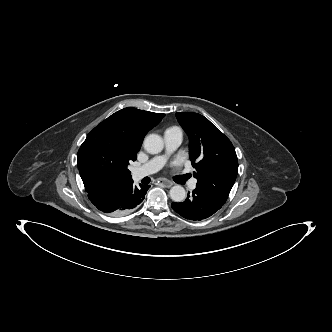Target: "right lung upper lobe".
<instances>
[{
  "label": "right lung upper lobe",
  "instance_id": "cb5924a9",
  "mask_svg": "<svg viewBox=\"0 0 332 332\" xmlns=\"http://www.w3.org/2000/svg\"><path fill=\"white\" fill-rule=\"evenodd\" d=\"M113 117H121L125 120L126 124L131 128L133 137L139 147H141L142 141L146 133L156 126L165 114L152 113L144 110H138L136 108H124L117 111ZM103 183L97 182H86L84 184L86 191H90L96 186L102 185Z\"/></svg>",
  "mask_w": 332,
  "mask_h": 332
}]
</instances>
